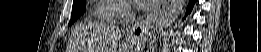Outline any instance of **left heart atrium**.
Masks as SVG:
<instances>
[{
	"mask_svg": "<svg viewBox=\"0 0 261 52\" xmlns=\"http://www.w3.org/2000/svg\"><path fill=\"white\" fill-rule=\"evenodd\" d=\"M132 2L135 4L137 8L146 10V9L154 8L158 1L157 0H133Z\"/></svg>",
	"mask_w": 261,
	"mask_h": 52,
	"instance_id": "obj_1",
	"label": "left heart atrium"
}]
</instances>
